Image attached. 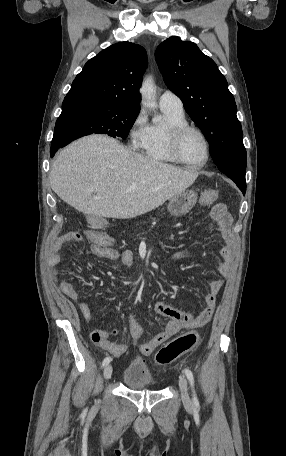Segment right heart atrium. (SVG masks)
Returning <instances> with one entry per match:
<instances>
[{
	"label": "right heart atrium",
	"instance_id": "1",
	"mask_svg": "<svg viewBox=\"0 0 286 456\" xmlns=\"http://www.w3.org/2000/svg\"><path fill=\"white\" fill-rule=\"evenodd\" d=\"M147 119L143 109H141L132 120L129 129V138L133 147H140L147 131Z\"/></svg>",
	"mask_w": 286,
	"mask_h": 456
}]
</instances>
